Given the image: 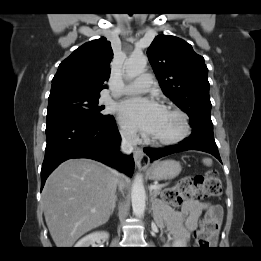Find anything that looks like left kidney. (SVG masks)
<instances>
[{"label":"left kidney","instance_id":"left-kidney-1","mask_svg":"<svg viewBox=\"0 0 261 261\" xmlns=\"http://www.w3.org/2000/svg\"><path fill=\"white\" fill-rule=\"evenodd\" d=\"M174 247H184L185 246V242L183 240H176L174 242Z\"/></svg>","mask_w":261,"mask_h":261}]
</instances>
